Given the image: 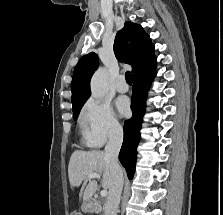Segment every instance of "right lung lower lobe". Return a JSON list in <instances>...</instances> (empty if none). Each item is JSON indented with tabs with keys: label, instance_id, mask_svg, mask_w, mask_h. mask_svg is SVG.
Here are the masks:
<instances>
[{
	"label": "right lung lower lobe",
	"instance_id": "obj_1",
	"mask_svg": "<svg viewBox=\"0 0 223 215\" xmlns=\"http://www.w3.org/2000/svg\"><path fill=\"white\" fill-rule=\"evenodd\" d=\"M155 74L156 71L154 69L133 78L134 85L131 103L133 116L124 122V140L119 153V160L126 169L129 179H132L135 171L137 145L140 140V128L146 107V93Z\"/></svg>",
	"mask_w": 223,
	"mask_h": 215
}]
</instances>
